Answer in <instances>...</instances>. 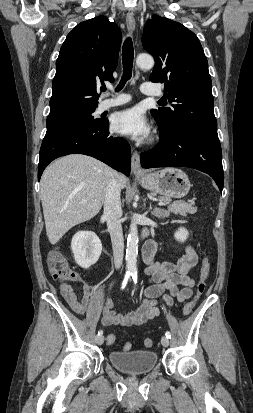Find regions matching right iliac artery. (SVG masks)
Here are the masks:
<instances>
[{"label": "right iliac artery", "mask_w": 253, "mask_h": 413, "mask_svg": "<svg viewBox=\"0 0 253 413\" xmlns=\"http://www.w3.org/2000/svg\"><path fill=\"white\" fill-rule=\"evenodd\" d=\"M129 277H130V274H129V273H126L125 278H124L123 283H122V289L125 288V286H126V284H127V282H128ZM102 334H103V331H102V330H99V331H98V335H102Z\"/></svg>", "instance_id": "obj_1"}]
</instances>
